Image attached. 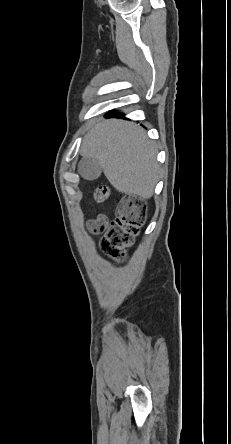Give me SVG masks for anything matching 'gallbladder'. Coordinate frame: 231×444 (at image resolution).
<instances>
[{
    "instance_id": "obj_1",
    "label": "gallbladder",
    "mask_w": 231,
    "mask_h": 444,
    "mask_svg": "<svg viewBox=\"0 0 231 444\" xmlns=\"http://www.w3.org/2000/svg\"><path fill=\"white\" fill-rule=\"evenodd\" d=\"M102 168L94 157H83L78 164V172L87 180H95L101 174Z\"/></svg>"
}]
</instances>
